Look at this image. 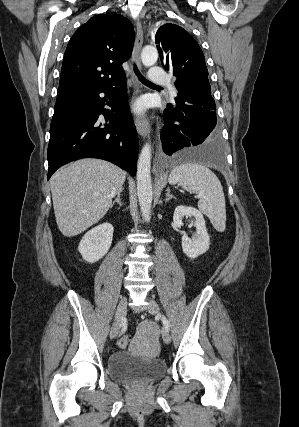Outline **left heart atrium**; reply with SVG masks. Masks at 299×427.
<instances>
[{
    "label": "left heart atrium",
    "instance_id": "1",
    "mask_svg": "<svg viewBox=\"0 0 299 427\" xmlns=\"http://www.w3.org/2000/svg\"><path fill=\"white\" fill-rule=\"evenodd\" d=\"M133 108L135 112L141 113L144 111L145 105L142 101H138L137 103H135Z\"/></svg>",
    "mask_w": 299,
    "mask_h": 427
}]
</instances>
